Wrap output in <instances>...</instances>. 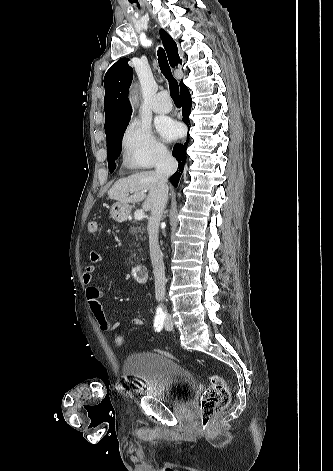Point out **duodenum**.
Wrapping results in <instances>:
<instances>
[{
    "mask_svg": "<svg viewBox=\"0 0 333 471\" xmlns=\"http://www.w3.org/2000/svg\"><path fill=\"white\" fill-rule=\"evenodd\" d=\"M132 277L138 283H145L148 279V270L145 265H136L131 270Z\"/></svg>",
    "mask_w": 333,
    "mask_h": 471,
    "instance_id": "duodenum-1",
    "label": "duodenum"
}]
</instances>
